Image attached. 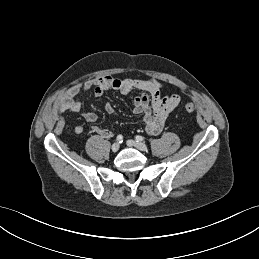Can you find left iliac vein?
Instances as JSON below:
<instances>
[{
	"label": "left iliac vein",
	"mask_w": 259,
	"mask_h": 259,
	"mask_svg": "<svg viewBox=\"0 0 259 259\" xmlns=\"http://www.w3.org/2000/svg\"><path fill=\"white\" fill-rule=\"evenodd\" d=\"M127 145L129 147H135L140 151H146L147 150V146L144 143L137 142V141H134V140H128Z\"/></svg>",
	"instance_id": "obj_1"
}]
</instances>
